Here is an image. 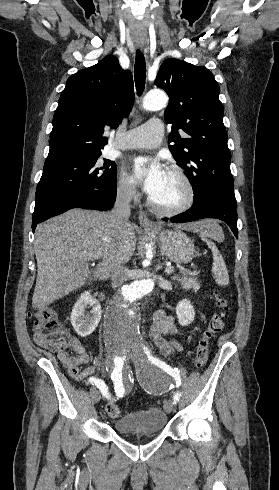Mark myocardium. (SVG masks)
<instances>
[{
	"label": "myocardium",
	"instance_id": "1",
	"mask_svg": "<svg viewBox=\"0 0 279 490\" xmlns=\"http://www.w3.org/2000/svg\"><path fill=\"white\" fill-rule=\"evenodd\" d=\"M167 171L174 174L185 188L184 199L174 206H164L157 203L154 199L149 201L150 208L156 213L164 217H175L187 211L195 201V189L191 179L185 171L178 165H170Z\"/></svg>",
	"mask_w": 279,
	"mask_h": 490
}]
</instances>
